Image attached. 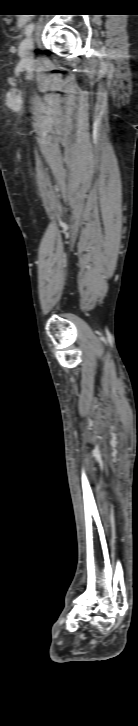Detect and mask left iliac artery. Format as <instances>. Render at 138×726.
I'll return each instance as SVG.
<instances>
[{
    "label": "left iliac artery",
    "instance_id": "44dca946",
    "mask_svg": "<svg viewBox=\"0 0 138 726\" xmlns=\"http://www.w3.org/2000/svg\"><path fill=\"white\" fill-rule=\"evenodd\" d=\"M34 27H35V24H34L33 22H32V23H29V24H28V25L26 26V29H25V33H26V35H27V36L31 35V33H32V32H33V30H34Z\"/></svg>",
    "mask_w": 138,
    "mask_h": 726
}]
</instances>
